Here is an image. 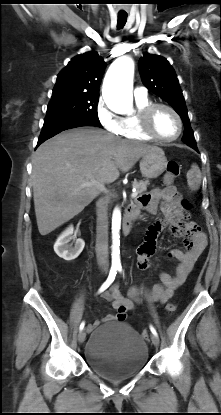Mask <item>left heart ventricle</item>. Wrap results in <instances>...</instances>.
Instances as JSON below:
<instances>
[{"label": "left heart ventricle", "mask_w": 221, "mask_h": 415, "mask_svg": "<svg viewBox=\"0 0 221 415\" xmlns=\"http://www.w3.org/2000/svg\"><path fill=\"white\" fill-rule=\"evenodd\" d=\"M153 126L155 131L165 138L174 137L178 132V122L176 118L170 111L164 108L156 110L153 117Z\"/></svg>", "instance_id": "obj_1"}]
</instances>
